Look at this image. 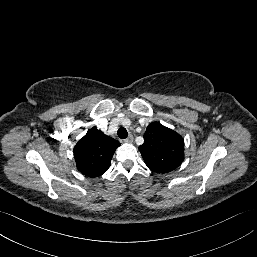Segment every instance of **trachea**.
Instances as JSON below:
<instances>
[{
	"instance_id": "1",
	"label": "trachea",
	"mask_w": 257,
	"mask_h": 257,
	"mask_svg": "<svg viewBox=\"0 0 257 257\" xmlns=\"http://www.w3.org/2000/svg\"><path fill=\"white\" fill-rule=\"evenodd\" d=\"M117 134H118L119 138H121V139H125L128 136L127 130L123 127L118 129Z\"/></svg>"
}]
</instances>
